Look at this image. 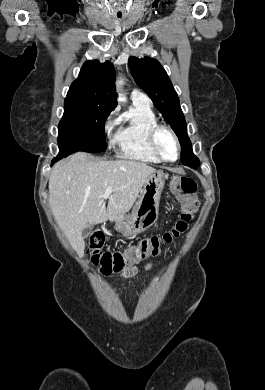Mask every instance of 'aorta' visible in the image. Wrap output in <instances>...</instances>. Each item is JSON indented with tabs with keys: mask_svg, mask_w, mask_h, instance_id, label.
<instances>
[{
	"mask_svg": "<svg viewBox=\"0 0 265 390\" xmlns=\"http://www.w3.org/2000/svg\"><path fill=\"white\" fill-rule=\"evenodd\" d=\"M122 81H118V83H117V88H119L121 85H122ZM120 100V99H119Z\"/></svg>",
	"mask_w": 265,
	"mask_h": 390,
	"instance_id": "762f6f07",
	"label": "aorta"
}]
</instances>
